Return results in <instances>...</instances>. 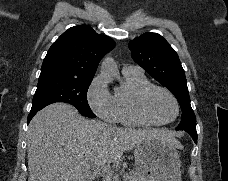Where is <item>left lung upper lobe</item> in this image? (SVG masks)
<instances>
[{
	"mask_svg": "<svg viewBox=\"0 0 228 181\" xmlns=\"http://www.w3.org/2000/svg\"><path fill=\"white\" fill-rule=\"evenodd\" d=\"M129 48L133 60L177 98L183 112L177 130H196L185 72L175 50L162 36L150 32L130 41Z\"/></svg>",
	"mask_w": 228,
	"mask_h": 181,
	"instance_id": "left-lung-upper-lobe-1",
	"label": "left lung upper lobe"
}]
</instances>
